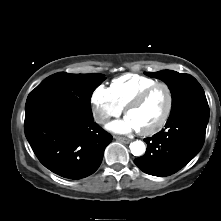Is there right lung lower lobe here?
<instances>
[{
	"mask_svg": "<svg viewBox=\"0 0 221 221\" xmlns=\"http://www.w3.org/2000/svg\"><path fill=\"white\" fill-rule=\"evenodd\" d=\"M24 130L39 161L68 179L93 174L112 140L93 118H82L55 103L41 104L27 111Z\"/></svg>",
	"mask_w": 221,
	"mask_h": 221,
	"instance_id": "98d812e1",
	"label": "right lung lower lobe"
}]
</instances>
